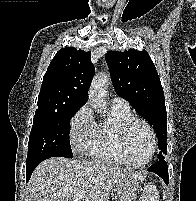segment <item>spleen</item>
Segmentation results:
<instances>
[{
    "mask_svg": "<svg viewBox=\"0 0 196 201\" xmlns=\"http://www.w3.org/2000/svg\"><path fill=\"white\" fill-rule=\"evenodd\" d=\"M141 201H160L159 193L156 186L153 184H148L145 186L144 191L140 197Z\"/></svg>",
    "mask_w": 196,
    "mask_h": 201,
    "instance_id": "obj_1",
    "label": "spleen"
}]
</instances>
